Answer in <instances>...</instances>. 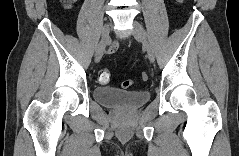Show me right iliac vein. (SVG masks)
I'll return each mask as SVG.
<instances>
[{
    "label": "right iliac vein",
    "instance_id": "obj_1",
    "mask_svg": "<svg viewBox=\"0 0 239 156\" xmlns=\"http://www.w3.org/2000/svg\"><path fill=\"white\" fill-rule=\"evenodd\" d=\"M109 32H110V24L107 22L105 23L103 29H102V34H101V44L100 47L98 49V51L96 52L95 55V61L99 62L103 56L105 47L108 43V39H109Z\"/></svg>",
    "mask_w": 239,
    "mask_h": 156
}]
</instances>
